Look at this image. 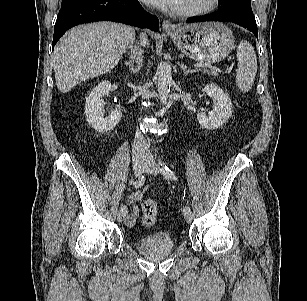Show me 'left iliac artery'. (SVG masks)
Instances as JSON below:
<instances>
[{
    "label": "left iliac artery",
    "mask_w": 307,
    "mask_h": 301,
    "mask_svg": "<svg viewBox=\"0 0 307 301\" xmlns=\"http://www.w3.org/2000/svg\"><path fill=\"white\" fill-rule=\"evenodd\" d=\"M159 167H160V171L162 173V175L166 178V179H170V180H177L176 175L169 169V167L166 166V164L164 162L161 161V159H159ZM190 211V207L189 206H185L183 209V212L186 213Z\"/></svg>",
    "instance_id": "44dca946"
}]
</instances>
